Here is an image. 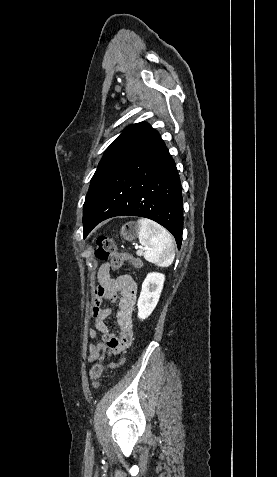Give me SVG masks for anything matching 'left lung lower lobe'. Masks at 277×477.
I'll use <instances>...</instances> for the list:
<instances>
[{"label": "left lung lower lobe", "instance_id": "left-lung-lower-lobe-1", "mask_svg": "<svg viewBox=\"0 0 277 477\" xmlns=\"http://www.w3.org/2000/svg\"><path fill=\"white\" fill-rule=\"evenodd\" d=\"M140 216L164 226L180 248L183 231L181 183L176 164L158 134L111 177L93 215L83 224L84 238L101 221Z\"/></svg>", "mask_w": 277, "mask_h": 477}]
</instances>
